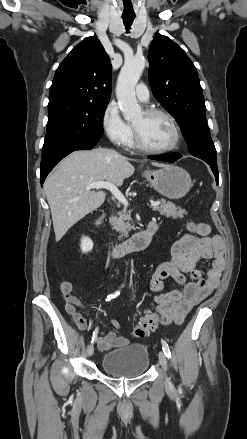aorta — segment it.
Here are the masks:
<instances>
[{
    "label": "aorta",
    "instance_id": "aorta-1",
    "mask_svg": "<svg viewBox=\"0 0 247 439\" xmlns=\"http://www.w3.org/2000/svg\"><path fill=\"white\" fill-rule=\"evenodd\" d=\"M146 61L143 57L125 60L117 79L116 96L123 117L127 121L138 118L141 108L135 95V86L142 75Z\"/></svg>",
    "mask_w": 247,
    "mask_h": 439
}]
</instances>
